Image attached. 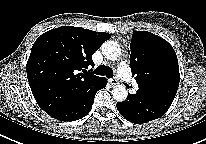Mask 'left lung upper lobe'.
<instances>
[{
  "label": "left lung upper lobe",
  "mask_w": 206,
  "mask_h": 144,
  "mask_svg": "<svg viewBox=\"0 0 206 144\" xmlns=\"http://www.w3.org/2000/svg\"><path fill=\"white\" fill-rule=\"evenodd\" d=\"M130 50V67L138 85L145 86L149 96L167 94L174 98L180 74L173 47L155 34L134 31Z\"/></svg>",
  "instance_id": "5c2ea615"
}]
</instances>
